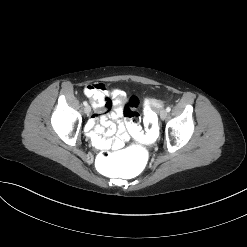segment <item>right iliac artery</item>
<instances>
[{"mask_svg": "<svg viewBox=\"0 0 247 247\" xmlns=\"http://www.w3.org/2000/svg\"><path fill=\"white\" fill-rule=\"evenodd\" d=\"M83 105H84V106H87V105H88V103H87L86 101H84V102H83Z\"/></svg>", "mask_w": 247, "mask_h": 247, "instance_id": "82829eb1", "label": "right iliac artery"}]
</instances>
